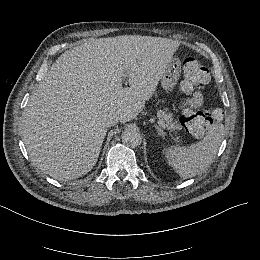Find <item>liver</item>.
Returning a JSON list of instances; mask_svg holds the SVG:
<instances>
[{"label": "liver", "mask_w": 260, "mask_h": 260, "mask_svg": "<svg viewBox=\"0 0 260 260\" xmlns=\"http://www.w3.org/2000/svg\"><path fill=\"white\" fill-rule=\"evenodd\" d=\"M180 44L160 37L90 39L67 50L30 95L21 134L32 163L67 181L95 166L110 113L125 124L145 108ZM128 78L130 87H123Z\"/></svg>", "instance_id": "6515ba94"}]
</instances>
